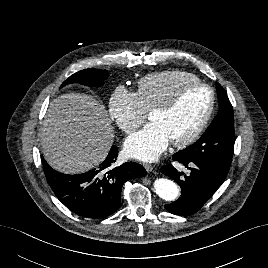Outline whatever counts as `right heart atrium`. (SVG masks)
<instances>
[{"label": "right heart atrium", "mask_w": 268, "mask_h": 268, "mask_svg": "<svg viewBox=\"0 0 268 268\" xmlns=\"http://www.w3.org/2000/svg\"><path fill=\"white\" fill-rule=\"evenodd\" d=\"M108 110L112 120L125 133L138 128L145 117V107L139 94L122 86L117 87L112 93Z\"/></svg>", "instance_id": "1"}]
</instances>
